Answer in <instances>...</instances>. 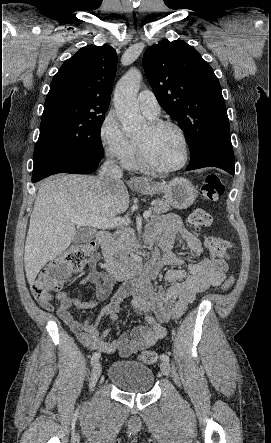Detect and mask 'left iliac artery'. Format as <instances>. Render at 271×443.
<instances>
[{
  "label": "left iliac artery",
  "instance_id": "1",
  "mask_svg": "<svg viewBox=\"0 0 271 443\" xmlns=\"http://www.w3.org/2000/svg\"><path fill=\"white\" fill-rule=\"evenodd\" d=\"M160 359H161L162 361L169 362V357H168L166 354H162V355H160Z\"/></svg>",
  "mask_w": 271,
  "mask_h": 443
}]
</instances>
